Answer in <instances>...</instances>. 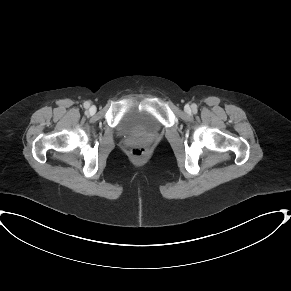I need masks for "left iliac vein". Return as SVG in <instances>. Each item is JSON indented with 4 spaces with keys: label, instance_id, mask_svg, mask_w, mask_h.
<instances>
[{
    "label": "left iliac vein",
    "instance_id": "left-iliac-vein-1",
    "mask_svg": "<svg viewBox=\"0 0 291 291\" xmlns=\"http://www.w3.org/2000/svg\"><path fill=\"white\" fill-rule=\"evenodd\" d=\"M186 110H189V106H186Z\"/></svg>",
    "mask_w": 291,
    "mask_h": 291
}]
</instances>
